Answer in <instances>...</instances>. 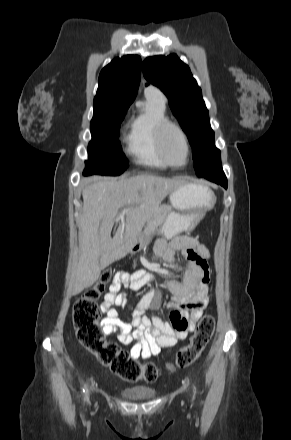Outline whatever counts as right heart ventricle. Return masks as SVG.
Returning <instances> with one entry per match:
<instances>
[{
	"label": "right heart ventricle",
	"instance_id": "e07e8e85",
	"mask_svg": "<svg viewBox=\"0 0 291 440\" xmlns=\"http://www.w3.org/2000/svg\"><path fill=\"white\" fill-rule=\"evenodd\" d=\"M145 97V109L130 120L126 154L137 165L165 168L155 137L157 126L167 120L165 101L154 94L145 93Z\"/></svg>",
	"mask_w": 291,
	"mask_h": 440
}]
</instances>
